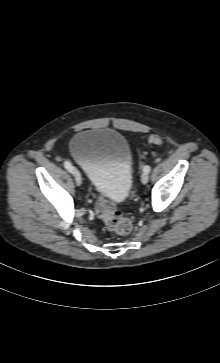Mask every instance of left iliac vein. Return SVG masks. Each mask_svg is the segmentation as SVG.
Listing matches in <instances>:
<instances>
[{"label": "left iliac vein", "mask_w": 220, "mask_h": 363, "mask_svg": "<svg viewBox=\"0 0 220 363\" xmlns=\"http://www.w3.org/2000/svg\"><path fill=\"white\" fill-rule=\"evenodd\" d=\"M148 181H149V176H148V174L147 173H142V175H141V182L143 183V184H147L148 183Z\"/></svg>", "instance_id": "1"}]
</instances>
